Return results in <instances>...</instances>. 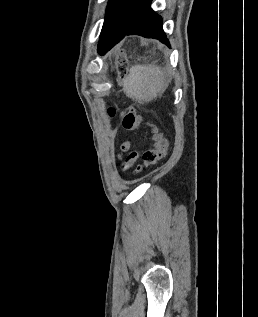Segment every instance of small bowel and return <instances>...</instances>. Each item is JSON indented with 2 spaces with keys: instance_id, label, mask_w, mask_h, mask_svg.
<instances>
[{
  "instance_id": "1",
  "label": "small bowel",
  "mask_w": 258,
  "mask_h": 317,
  "mask_svg": "<svg viewBox=\"0 0 258 317\" xmlns=\"http://www.w3.org/2000/svg\"><path fill=\"white\" fill-rule=\"evenodd\" d=\"M130 151V144L124 143L121 148V152H129ZM122 153L119 155V158L122 159ZM138 158V153L135 151L129 152L128 156L123 160V168H129Z\"/></svg>"
}]
</instances>
